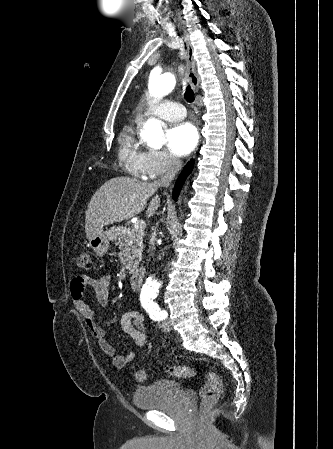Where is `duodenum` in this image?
Here are the masks:
<instances>
[{
    "label": "duodenum",
    "instance_id": "obj_1",
    "mask_svg": "<svg viewBox=\"0 0 333 449\" xmlns=\"http://www.w3.org/2000/svg\"><path fill=\"white\" fill-rule=\"evenodd\" d=\"M144 278V272L140 269L133 270L130 274V285L134 291L140 290Z\"/></svg>",
    "mask_w": 333,
    "mask_h": 449
}]
</instances>
